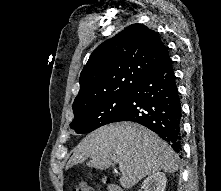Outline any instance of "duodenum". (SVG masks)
<instances>
[{
	"mask_svg": "<svg viewBox=\"0 0 221 191\" xmlns=\"http://www.w3.org/2000/svg\"><path fill=\"white\" fill-rule=\"evenodd\" d=\"M108 191H123V189L116 184H110L108 186Z\"/></svg>",
	"mask_w": 221,
	"mask_h": 191,
	"instance_id": "obj_1",
	"label": "duodenum"
}]
</instances>
